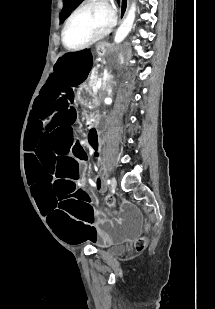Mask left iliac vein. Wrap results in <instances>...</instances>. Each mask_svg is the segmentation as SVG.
<instances>
[{"instance_id":"1","label":"left iliac vein","mask_w":215,"mask_h":309,"mask_svg":"<svg viewBox=\"0 0 215 309\" xmlns=\"http://www.w3.org/2000/svg\"><path fill=\"white\" fill-rule=\"evenodd\" d=\"M110 185H111V191H114L116 186H117V180L115 177H112L110 180Z\"/></svg>"}]
</instances>
